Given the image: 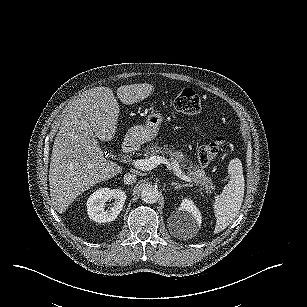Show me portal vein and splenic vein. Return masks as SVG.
Segmentation results:
<instances>
[{"instance_id":"obj_1","label":"portal vein and splenic vein","mask_w":307,"mask_h":307,"mask_svg":"<svg viewBox=\"0 0 307 307\" xmlns=\"http://www.w3.org/2000/svg\"><path fill=\"white\" fill-rule=\"evenodd\" d=\"M160 164H166L167 168H171L174 170V173L176 176H178L180 179L191 182L190 178H188L185 175H182L180 166L178 163H174L173 165L168 161L167 158L159 155L150 156L148 159H137L133 160V166L136 169L142 170V171H149L154 168H156Z\"/></svg>"}]
</instances>
